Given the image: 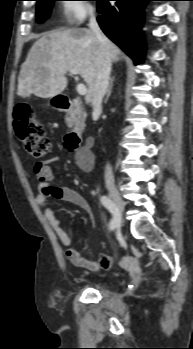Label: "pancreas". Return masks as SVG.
I'll return each mask as SVG.
<instances>
[{
    "label": "pancreas",
    "instance_id": "1",
    "mask_svg": "<svg viewBox=\"0 0 193 349\" xmlns=\"http://www.w3.org/2000/svg\"><path fill=\"white\" fill-rule=\"evenodd\" d=\"M75 111L77 114V124L78 126H80L81 128L84 127V121H85V112L83 107L81 106V102L79 100H76L75 102Z\"/></svg>",
    "mask_w": 193,
    "mask_h": 349
}]
</instances>
